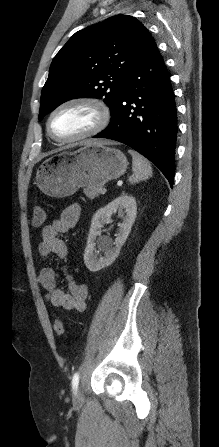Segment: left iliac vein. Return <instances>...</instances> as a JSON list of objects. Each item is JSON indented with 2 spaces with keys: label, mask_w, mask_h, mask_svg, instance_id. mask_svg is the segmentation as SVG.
<instances>
[{
  "label": "left iliac vein",
  "mask_w": 219,
  "mask_h": 447,
  "mask_svg": "<svg viewBox=\"0 0 219 447\" xmlns=\"http://www.w3.org/2000/svg\"><path fill=\"white\" fill-rule=\"evenodd\" d=\"M83 398V389L82 386L80 385L77 390L75 391V395H74V400L75 401H79Z\"/></svg>",
  "instance_id": "left-iliac-vein-1"
}]
</instances>
